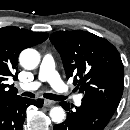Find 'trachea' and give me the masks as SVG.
<instances>
[{
	"mask_svg": "<svg viewBox=\"0 0 130 130\" xmlns=\"http://www.w3.org/2000/svg\"><path fill=\"white\" fill-rule=\"evenodd\" d=\"M22 96L34 98L35 94L32 93V92H24V93H22ZM44 97L47 98V99H50V100H55V101H61V100L66 99V97H64V96H59V95H55V94H52V93H45Z\"/></svg>",
	"mask_w": 130,
	"mask_h": 130,
	"instance_id": "3493384b",
	"label": "trachea"
}]
</instances>
